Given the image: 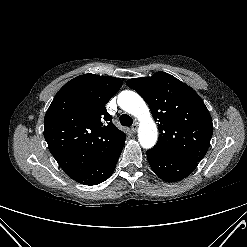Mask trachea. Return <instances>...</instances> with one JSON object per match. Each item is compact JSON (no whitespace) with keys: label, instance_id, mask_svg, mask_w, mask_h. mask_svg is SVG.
I'll list each match as a JSON object with an SVG mask.
<instances>
[{"label":"trachea","instance_id":"obj_1","mask_svg":"<svg viewBox=\"0 0 247 247\" xmlns=\"http://www.w3.org/2000/svg\"><path fill=\"white\" fill-rule=\"evenodd\" d=\"M120 123L123 126L129 127V126H131L133 124V119L127 114H122L120 116Z\"/></svg>","mask_w":247,"mask_h":247}]
</instances>
